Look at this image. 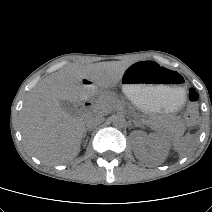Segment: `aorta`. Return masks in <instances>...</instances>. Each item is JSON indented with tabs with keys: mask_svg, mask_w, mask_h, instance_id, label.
<instances>
[{
	"mask_svg": "<svg viewBox=\"0 0 212 212\" xmlns=\"http://www.w3.org/2000/svg\"><path fill=\"white\" fill-rule=\"evenodd\" d=\"M112 122H113L114 127H117V128H123L126 125V119L122 115H116L113 118Z\"/></svg>",
	"mask_w": 212,
	"mask_h": 212,
	"instance_id": "1",
	"label": "aorta"
}]
</instances>
